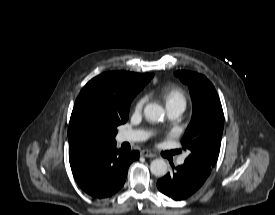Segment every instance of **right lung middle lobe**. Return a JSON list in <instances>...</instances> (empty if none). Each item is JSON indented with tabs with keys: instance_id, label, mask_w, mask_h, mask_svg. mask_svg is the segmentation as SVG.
<instances>
[{
	"instance_id": "obj_1",
	"label": "right lung middle lobe",
	"mask_w": 275,
	"mask_h": 215,
	"mask_svg": "<svg viewBox=\"0 0 275 215\" xmlns=\"http://www.w3.org/2000/svg\"><path fill=\"white\" fill-rule=\"evenodd\" d=\"M129 106L121 116L101 107H85L70 121L69 139L77 148L114 141L117 126L128 119Z\"/></svg>"
}]
</instances>
